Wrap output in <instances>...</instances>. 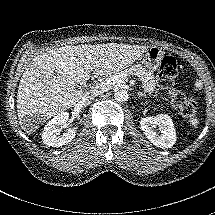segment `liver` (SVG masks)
<instances>
[{
    "instance_id": "liver-1",
    "label": "liver",
    "mask_w": 215,
    "mask_h": 215,
    "mask_svg": "<svg viewBox=\"0 0 215 215\" xmlns=\"http://www.w3.org/2000/svg\"><path fill=\"white\" fill-rule=\"evenodd\" d=\"M147 46L106 43L65 45L32 59L17 91L19 124L27 134L83 97L81 86L91 77L121 71L140 58Z\"/></svg>"
}]
</instances>
